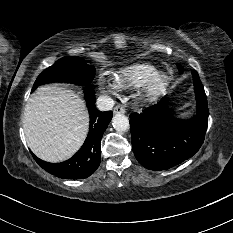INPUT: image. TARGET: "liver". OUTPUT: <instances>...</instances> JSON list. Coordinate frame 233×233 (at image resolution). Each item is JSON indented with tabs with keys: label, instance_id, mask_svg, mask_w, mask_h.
Segmentation results:
<instances>
[{
	"label": "liver",
	"instance_id": "liver-1",
	"mask_svg": "<svg viewBox=\"0 0 233 233\" xmlns=\"http://www.w3.org/2000/svg\"><path fill=\"white\" fill-rule=\"evenodd\" d=\"M23 129L27 144L37 157L62 162L82 146L88 134L89 115L74 90L40 86L26 104Z\"/></svg>",
	"mask_w": 233,
	"mask_h": 233
}]
</instances>
